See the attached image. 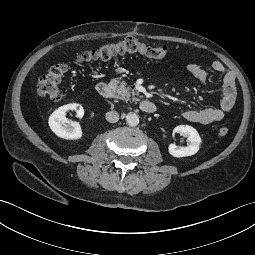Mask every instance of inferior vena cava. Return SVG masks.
<instances>
[{"mask_svg":"<svg viewBox=\"0 0 255 255\" xmlns=\"http://www.w3.org/2000/svg\"><path fill=\"white\" fill-rule=\"evenodd\" d=\"M106 120L110 123H116L119 120V113L116 110L107 112Z\"/></svg>","mask_w":255,"mask_h":255,"instance_id":"inferior-vena-cava-1","label":"inferior vena cava"}]
</instances>
